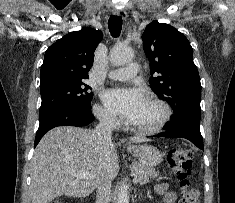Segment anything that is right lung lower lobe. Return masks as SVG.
I'll list each match as a JSON object with an SVG mask.
<instances>
[{"label": "right lung lower lobe", "mask_w": 235, "mask_h": 203, "mask_svg": "<svg viewBox=\"0 0 235 203\" xmlns=\"http://www.w3.org/2000/svg\"><path fill=\"white\" fill-rule=\"evenodd\" d=\"M40 124L36 133L34 147L43 135L50 129L58 126H86L94 121L91 109H82L73 106L54 108L39 115Z\"/></svg>", "instance_id": "98d812e1"}]
</instances>
